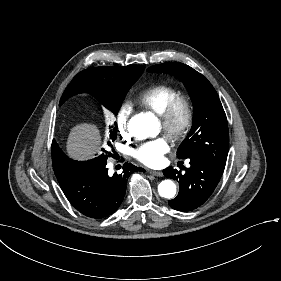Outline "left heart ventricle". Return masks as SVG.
Here are the masks:
<instances>
[{
	"instance_id": "1",
	"label": "left heart ventricle",
	"mask_w": 281,
	"mask_h": 281,
	"mask_svg": "<svg viewBox=\"0 0 281 281\" xmlns=\"http://www.w3.org/2000/svg\"><path fill=\"white\" fill-rule=\"evenodd\" d=\"M182 116H183L182 110H181V109H178L177 112H176V114H175V116H174V122H175L176 124L180 123L181 120H182ZM159 126H160V123H159ZM160 129H161V126H160Z\"/></svg>"
}]
</instances>
